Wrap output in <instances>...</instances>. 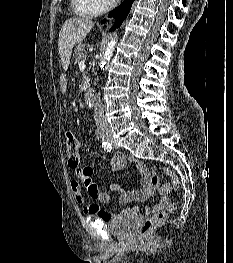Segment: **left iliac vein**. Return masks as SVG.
I'll use <instances>...</instances> for the list:
<instances>
[{
  "label": "left iliac vein",
  "instance_id": "4c4485c4",
  "mask_svg": "<svg viewBox=\"0 0 233 263\" xmlns=\"http://www.w3.org/2000/svg\"><path fill=\"white\" fill-rule=\"evenodd\" d=\"M110 142H111V144L113 145L114 148H118L117 143L112 138L110 139Z\"/></svg>",
  "mask_w": 233,
  "mask_h": 263
}]
</instances>
